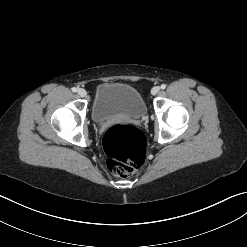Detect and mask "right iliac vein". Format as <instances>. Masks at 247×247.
Instances as JSON below:
<instances>
[{
    "mask_svg": "<svg viewBox=\"0 0 247 247\" xmlns=\"http://www.w3.org/2000/svg\"><path fill=\"white\" fill-rule=\"evenodd\" d=\"M77 92L80 97H85L87 94L86 90L83 88H79Z\"/></svg>",
    "mask_w": 247,
    "mask_h": 247,
    "instance_id": "1",
    "label": "right iliac vein"
}]
</instances>
